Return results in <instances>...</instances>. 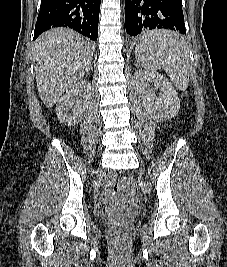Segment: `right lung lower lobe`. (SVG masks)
Returning <instances> with one entry per match:
<instances>
[{
    "label": "right lung lower lobe",
    "instance_id": "obj_1",
    "mask_svg": "<svg viewBox=\"0 0 227 267\" xmlns=\"http://www.w3.org/2000/svg\"><path fill=\"white\" fill-rule=\"evenodd\" d=\"M101 0H41L34 40L52 27L72 28L97 40Z\"/></svg>",
    "mask_w": 227,
    "mask_h": 267
}]
</instances>
